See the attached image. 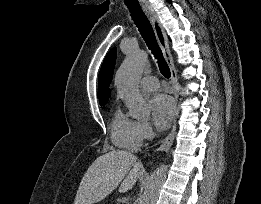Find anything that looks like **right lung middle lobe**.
Masks as SVG:
<instances>
[{"instance_id": "right-lung-middle-lobe-1", "label": "right lung middle lobe", "mask_w": 261, "mask_h": 204, "mask_svg": "<svg viewBox=\"0 0 261 204\" xmlns=\"http://www.w3.org/2000/svg\"><path fill=\"white\" fill-rule=\"evenodd\" d=\"M106 104V102H100V105L104 106Z\"/></svg>"}]
</instances>
